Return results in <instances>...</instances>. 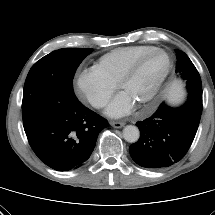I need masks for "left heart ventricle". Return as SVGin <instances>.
Here are the masks:
<instances>
[{"mask_svg": "<svg viewBox=\"0 0 215 215\" xmlns=\"http://www.w3.org/2000/svg\"><path fill=\"white\" fill-rule=\"evenodd\" d=\"M168 65V59L164 54H155L148 58L139 68L135 76L127 82L124 92L134 104H140L152 91L158 80L163 75Z\"/></svg>", "mask_w": 215, "mask_h": 215, "instance_id": "obj_1", "label": "left heart ventricle"}]
</instances>
